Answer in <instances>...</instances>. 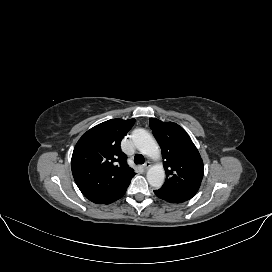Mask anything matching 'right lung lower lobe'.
I'll use <instances>...</instances> for the list:
<instances>
[{"instance_id": "obj_1", "label": "right lung lower lobe", "mask_w": 272, "mask_h": 272, "mask_svg": "<svg viewBox=\"0 0 272 272\" xmlns=\"http://www.w3.org/2000/svg\"><path fill=\"white\" fill-rule=\"evenodd\" d=\"M125 192H126V191H124L120 196H118L117 198H115L112 202H114L115 200L120 199V198L125 194ZM112 202H110V203H112ZM108 204H109V203H108Z\"/></svg>"}]
</instances>
